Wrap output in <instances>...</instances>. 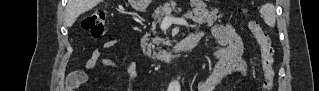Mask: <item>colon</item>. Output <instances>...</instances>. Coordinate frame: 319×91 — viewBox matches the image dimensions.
Wrapping results in <instances>:
<instances>
[{
    "label": "colon",
    "mask_w": 319,
    "mask_h": 91,
    "mask_svg": "<svg viewBox=\"0 0 319 91\" xmlns=\"http://www.w3.org/2000/svg\"><path fill=\"white\" fill-rule=\"evenodd\" d=\"M106 18L104 11H94L82 20L81 26L91 37H101L106 30ZM249 28L260 47L261 67L264 75L263 90L270 91L275 77L274 50L267 33L262 30L257 20L250 19Z\"/></svg>",
    "instance_id": "obj_1"
}]
</instances>
